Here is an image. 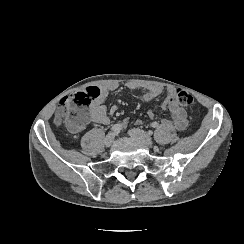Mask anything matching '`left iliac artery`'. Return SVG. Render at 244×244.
<instances>
[{
	"label": "left iliac artery",
	"mask_w": 244,
	"mask_h": 244,
	"mask_svg": "<svg viewBox=\"0 0 244 244\" xmlns=\"http://www.w3.org/2000/svg\"><path fill=\"white\" fill-rule=\"evenodd\" d=\"M153 128H157L158 127V123L157 122H153L151 125Z\"/></svg>",
	"instance_id": "obj_1"
}]
</instances>
